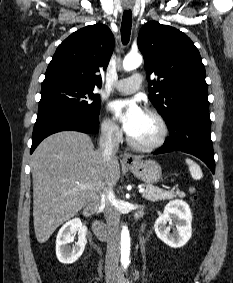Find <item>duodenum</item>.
<instances>
[{"label": "duodenum", "instance_id": "1", "mask_svg": "<svg viewBox=\"0 0 233 283\" xmlns=\"http://www.w3.org/2000/svg\"><path fill=\"white\" fill-rule=\"evenodd\" d=\"M97 207V201H94L90 205H88L85 209L83 214L85 216H90L96 209ZM93 229L95 234L102 240H105L107 238V230L105 226L101 222H94L93 223Z\"/></svg>", "mask_w": 233, "mask_h": 283}]
</instances>
